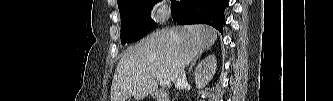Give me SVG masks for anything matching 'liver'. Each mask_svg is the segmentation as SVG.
I'll return each mask as SVG.
<instances>
[{
	"label": "liver",
	"instance_id": "obj_1",
	"mask_svg": "<svg viewBox=\"0 0 333 101\" xmlns=\"http://www.w3.org/2000/svg\"><path fill=\"white\" fill-rule=\"evenodd\" d=\"M217 31L207 25L177 26L153 32L130 47L119 61L111 85V101H140L157 88L158 75L172 82L181 68L210 48Z\"/></svg>",
	"mask_w": 333,
	"mask_h": 101
}]
</instances>
